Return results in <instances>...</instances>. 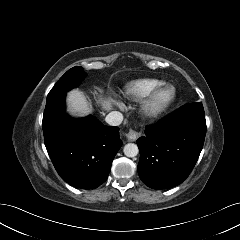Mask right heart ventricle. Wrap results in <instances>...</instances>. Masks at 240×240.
Returning <instances> with one entry per match:
<instances>
[{
	"label": "right heart ventricle",
	"mask_w": 240,
	"mask_h": 240,
	"mask_svg": "<svg viewBox=\"0 0 240 240\" xmlns=\"http://www.w3.org/2000/svg\"><path fill=\"white\" fill-rule=\"evenodd\" d=\"M163 81L153 78H144L131 81L123 88V94L127 98L140 99L148 96L154 89L163 85Z\"/></svg>",
	"instance_id": "1"
}]
</instances>
